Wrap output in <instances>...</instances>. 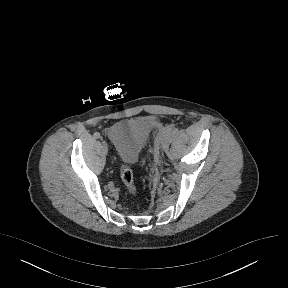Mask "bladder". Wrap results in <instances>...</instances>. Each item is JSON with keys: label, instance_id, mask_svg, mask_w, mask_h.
Masks as SVG:
<instances>
[{"label": "bladder", "instance_id": "31cf9c89", "mask_svg": "<svg viewBox=\"0 0 288 288\" xmlns=\"http://www.w3.org/2000/svg\"><path fill=\"white\" fill-rule=\"evenodd\" d=\"M149 133L150 124L144 119L120 122L107 131L117 156L126 163H132L137 159Z\"/></svg>", "mask_w": 288, "mask_h": 288}]
</instances>
